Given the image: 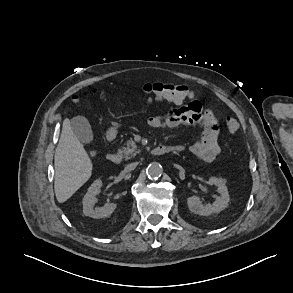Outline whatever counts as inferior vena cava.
<instances>
[{
	"mask_svg": "<svg viewBox=\"0 0 293 293\" xmlns=\"http://www.w3.org/2000/svg\"><path fill=\"white\" fill-rule=\"evenodd\" d=\"M137 162H134V163H131V164H128L126 167H125V170L126 171H132V170H134L135 168H136V166H137Z\"/></svg>",
	"mask_w": 293,
	"mask_h": 293,
	"instance_id": "1",
	"label": "inferior vena cava"
}]
</instances>
